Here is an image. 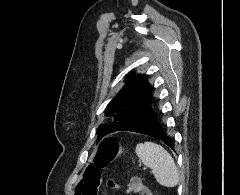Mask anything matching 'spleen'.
I'll use <instances>...</instances> for the list:
<instances>
[{
  "label": "spleen",
  "instance_id": "1",
  "mask_svg": "<svg viewBox=\"0 0 240 195\" xmlns=\"http://www.w3.org/2000/svg\"><path fill=\"white\" fill-rule=\"evenodd\" d=\"M135 151L142 163L152 169V173L160 185H165V187L177 185L178 169L173 157L165 147L153 143V141H144V143H137Z\"/></svg>",
  "mask_w": 240,
  "mask_h": 195
}]
</instances>
